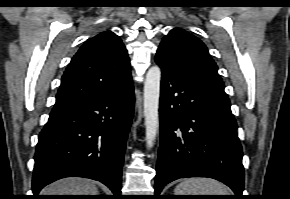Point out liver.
Here are the masks:
<instances>
[{"label": "liver", "mask_w": 290, "mask_h": 199, "mask_svg": "<svg viewBox=\"0 0 290 199\" xmlns=\"http://www.w3.org/2000/svg\"><path fill=\"white\" fill-rule=\"evenodd\" d=\"M43 195H97L95 183L83 178L58 180L43 190Z\"/></svg>", "instance_id": "obj_1"}]
</instances>
